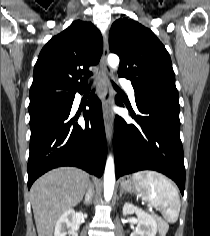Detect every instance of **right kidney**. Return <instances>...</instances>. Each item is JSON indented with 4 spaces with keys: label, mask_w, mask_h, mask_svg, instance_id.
<instances>
[{
    "label": "right kidney",
    "mask_w": 210,
    "mask_h": 236,
    "mask_svg": "<svg viewBox=\"0 0 210 236\" xmlns=\"http://www.w3.org/2000/svg\"><path fill=\"white\" fill-rule=\"evenodd\" d=\"M75 216L76 214L73 209L64 212L56 222L54 236H78Z\"/></svg>",
    "instance_id": "1"
}]
</instances>
